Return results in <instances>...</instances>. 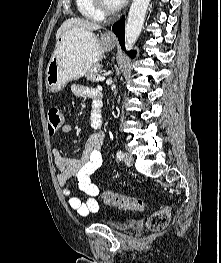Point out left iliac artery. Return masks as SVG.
Returning <instances> with one entry per match:
<instances>
[{"instance_id":"1","label":"left iliac artery","mask_w":221,"mask_h":263,"mask_svg":"<svg viewBox=\"0 0 221 263\" xmlns=\"http://www.w3.org/2000/svg\"><path fill=\"white\" fill-rule=\"evenodd\" d=\"M117 158L121 161L124 158V153L122 151H118Z\"/></svg>"}]
</instances>
